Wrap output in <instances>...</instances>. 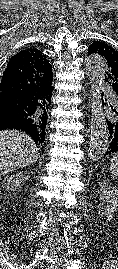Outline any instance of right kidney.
Returning a JSON list of instances; mask_svg holds the SVG:
<instances>
[{"instance_id":"obj_1","label":"right kidney","mask_w":118,"mask_h":269,"mask_svg":"<svg viewBox=\"0 0 118 269\" xmlns=\"http://www.w3.org/2000/svg\"><path fill=\"white\" fill-rule=\"evenodd\" d=\"M27 179L28 177L25 174L18 173L8 176L6 180H4L3 185L8 191L14 192L19 189Z\"/></svg>"}]
</instances>
